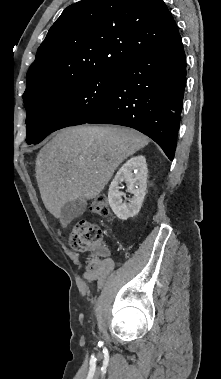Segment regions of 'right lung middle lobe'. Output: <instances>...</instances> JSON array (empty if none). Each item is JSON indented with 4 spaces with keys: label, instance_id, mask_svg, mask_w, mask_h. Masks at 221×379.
Returning <instances> with one entry per match:
<instances>
[{
    "label": "right lung middle lobe",
    "instance_id": "obj_1",
    "mask_svg": "<svg viewBox=\"0 0 221 379\" xmlns=\"http://www.w3.org/2000/svg\"><path fill=\"white\" fill-rule=\"evenodd\" d=\"M118 69L79 77L55 86L25 104L28 144L58 129L83 124L111 99Z\"/></svg>",
    "mask_w": 221,
    "mask_h": 379
}]
</instances>
